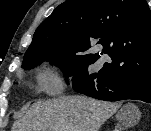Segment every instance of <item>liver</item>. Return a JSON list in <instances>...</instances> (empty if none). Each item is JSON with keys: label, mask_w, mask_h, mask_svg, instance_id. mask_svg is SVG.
Segmentation results:
<instances>
[{"label": "liver", "mask_w": 151, "mask_h": 131, "mask_svg": "<svg viewBox=\"0 0 151 131\" xmlns=\"http://www.w3.org/2000/svg\"><path fill=\"white\" fill-rule=\"evenodd\" d=\"M119 105L85 96H64L32 104L11 131H99ZM135 124L140 113L134 110ZM134 117V116H133Z\"/></svg>", "instance_id": "obj_1"}]
</instances>
